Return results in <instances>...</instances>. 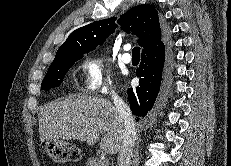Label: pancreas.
Masks as SVG:
<instances>
[{"label": "pancreas", "mask_w": 231, "mask_h": 166, "mask_svg": "<svg viewBox=\"0 0 231 166\" xmlns=\"http://www.w3.org/2000/svg\"><path fill=\"white\" fill-rule=\"evenodd\" d=\"M85 166H109L108 162L101 160L98 157H89Z\"/></svg>", "instance_id": "cf45deb5"}]
</instances>
